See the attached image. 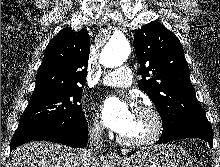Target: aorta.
I'll use <instances>...</instances> for the list:
<instances>
[{"instance_id":"762f6f07","label":"aorta","mask_w":220,"mask_h":167,"mask_svg":"<svg viewBox=\"0 0 220 167\" xmlns=\"http://www.w3.org/2000/svg\"><path fill=\"white\" fill-rule=\"evenodd\" d=\"M131 47L123 36H115L110 39L100 54V63L107 68L121 66L129 57Z\"/></svg>"}]
</instances>
